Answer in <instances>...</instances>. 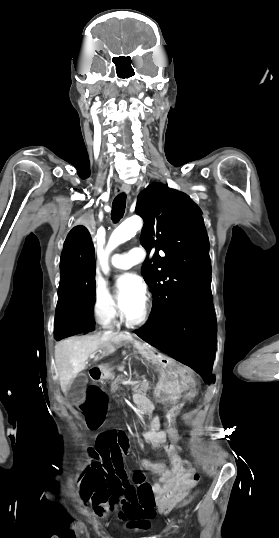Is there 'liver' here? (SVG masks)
<instances>
[{"label":"liver","mask_w":279,"mask_h":538,"mask_svg":"<svg viewBox=\"0 0 279 538\" xmlns=\"http://www.w3.org/2000/svg\"><path fill=\"white\" fill-rule=\"evenodd\" d=\"M134 342L130 334H101V336H82V338H66L57 342L55 346V364L60 380L62 392L66 394L67 388L77 374L85 370V362L91 354L99 348L106 350L107 354L116 352L118 344ZM104 354V352H103Z\"/></svg>","instance_id":"1"}]
</instances>
